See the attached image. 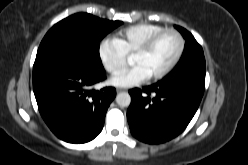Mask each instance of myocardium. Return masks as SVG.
I'll list each match as a JSON object with an SVG mask.
<instances>
[{
    "mask_svg": "<svg viewBox=\"0 0 248 165\" xmlns=\"http://www.w3.org/2000/svg\"><path fill=\"white\" fill-rule=\"evenodd\" d=\"M171 33L174 34L178 40V49L174 56V58L171 60V62L159 73L153 75L150 77L151 81H157L165 76H167L179 63L185 49V40L181 33L173 28H164L161 31L156 32L155 34L151 35L139 48H137L134 52L135 54H145L147 53L154 45L155 43L165 34Z\"/></svg>",
    "mask_w": 248,
    "mask_h": 165,
    "instance_id": "1",
    "label": "myocardium"
}]
</instances>
